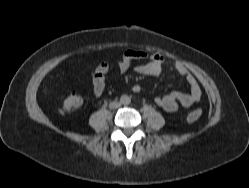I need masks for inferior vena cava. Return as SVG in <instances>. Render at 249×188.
Listing matches in <instances>:
<instances>
[{"mask_svg":"<svg viewBox=\"0 0 249 188\" xmlns=\"http://www.w3.org/2000/svg\"><path fill=\"white\" fill-rule=\"evenodd\" d=\"M118 106H120V103H116V106H115V107H118Z\"/></svg>","mask_w":249,"mask_h":188,"instance_id":"obj_1","label":"inferior vena cava"}]
</instances>
